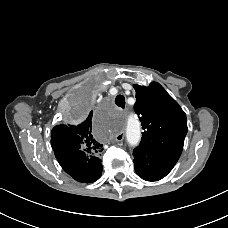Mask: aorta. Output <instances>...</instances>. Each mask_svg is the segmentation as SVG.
<instances>
[{
	"label": "aorta",
	"instance_id": "1",
	"mask_svg": "<svg viewBox=\"0 0 228 228\" xmlns=\"http://www.w3.org/2000/svg\"><path fill=\"white\" fill-rule=\"evenodd\" d=\"M126 138L130 145L135 146L138 144L141 138L140 126L131 118L128 119L126 125Z\"/></svg>",
	"mask_w": 228,
	"mask_h": 228
}]
</instances>
